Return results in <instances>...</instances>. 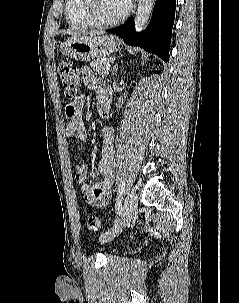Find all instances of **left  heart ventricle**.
<instances>
[{
    "label": "left heart ventricle",
    "mask_w": 239,
    "mask_h": 303,
    "mask_svg": "<svg viewBox=\"0 0 239 303\" xmlns=\"http://www.w3.org/2000/svg\"><path fill=\"white\" fill-rule=\"evenodd\" d=\"M98 7L103 19H114L126 10L122 0H99Z\"/></svg>",
    "instance_id": "left-heart-ventricle-1"
}]
</instances>
